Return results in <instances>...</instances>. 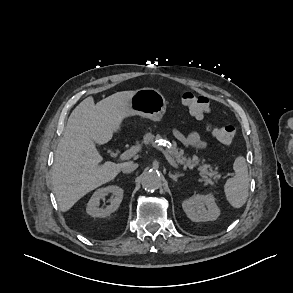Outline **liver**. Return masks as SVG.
Here are the masks:
<instances>
[{"mask_svg":"<svg viewBox=\"0 0 293 293\" xmlns=\"http://www.w3.org/2000/svg\"><path fill=\"white\" fill-rule=\"evenodd\" d=\"M134 91L117 92L97 104L84 99L68 118L51 170L53 191L62 212L90 191L113 180L122 164L102 161L95 144L108 143L130 114Z\"/></svg>","mask_w":293,"mask_h":293,"instance_id":"1","label":"liver"}]
</instances>
